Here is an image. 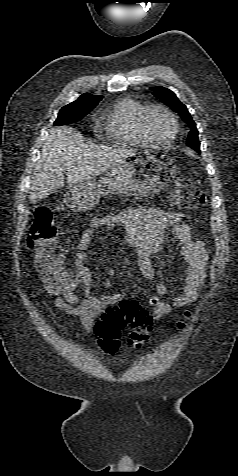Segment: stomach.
Segmentation results:
<instances>
[{
    "instance_id": "1",
    "label": "stomach",
    "mask_w": 238,
    "mask_h": 476,
    "mask_svg": "<svg viewBox=\"0 0 238 476\" xmlns=\"http://www.w3.org/2000/svg\"><path fill=\"white\" fill-rule=\"evenodd\" d=\"M176 173L175 160L163 151H134L98 181L88 180L69 186L64 202L74 212H85L108 194L155 195Z\"/></svg>"
}]
</instances>
